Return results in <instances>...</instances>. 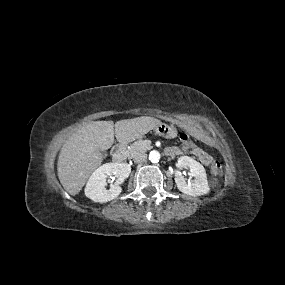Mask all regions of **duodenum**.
<instances>
[{"instance_id": "410a0bca", "label": "duodenum", "mask_w": 285, "mask_h": 285, "mask_svg": "<svg viewBox=\"0 0 285 285\" xmlns=\"http://www.w3.org/2000/svg\"><path fill=\"white\" fill-rule=\"evenodd\" d=\"M112 157L115 162H122L126 157V147L123 143H118L112 150Z\"/></svg>"}]
</instances>
